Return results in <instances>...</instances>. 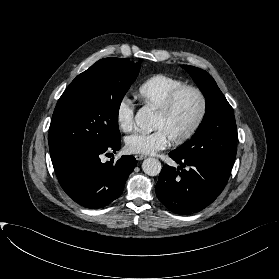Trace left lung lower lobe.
<instances>
[{
    "instance_id": "left-lung-lower-lobe-1",
    "label": "left lung lower lobe",
    "mask_w": 279,
    "mask_h": 279,
    "mask_svg": "<svg viewBox=\"0 0 279 279\" xmlns=\"http://www.w3.org/2000/svg\"><path fill=\"white\" fill-rule=\"evenodd\" d=\"M169 156L180 166L178 170L168 165L162 168L156 194L171 212L180 215L198 212L211 204L226 186L231 169L212 160L182 158L173 151Z\"/></svg>"
}]
</instances>
